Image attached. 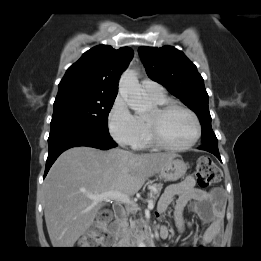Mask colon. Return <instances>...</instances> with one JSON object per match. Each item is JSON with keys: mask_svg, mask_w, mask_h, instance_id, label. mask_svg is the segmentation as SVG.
I'll use <instances>...</instances> for the list:
<instances>
[{"mask_svg": "<svg viewBox=\"0 0 261 261\" xmlns=\"http://www.w3.org/2000/svg\"><path fill=\"white\" fill-rule=\"evenodd\" d=\"M195 177L200 186L207 187L218 183L222 178V173L210 157L203 156L197 160ZM111 218V211L105 210L101 212L97 223L80 242V247L89 250L99 245L104 238L106 225Z\"/></svg>", "mask_w": 261, "mask_h": 261, "instance_id": "5ec220e1", "label": "colon"}]
</instances>
